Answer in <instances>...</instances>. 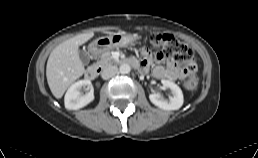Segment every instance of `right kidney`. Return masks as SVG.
<instances>
[{"instance_id": "obj_1", "label": "right kidney", "mask_w": 258, "mask_h": 158, "mask_svg": "<svg viewBox=\"0 0 258 158\" xmlns=\"http://www.w3.org/2000/svg\"><path fill=\"white\" fill-rule=\"evenodd\" d=\"M86 87L87 92L82 95L80 90ZM94 100V90L90 80H79L72 84L67 90L64 97L65 108L69 110H77Z\"/></svg>"}]
</instances>
